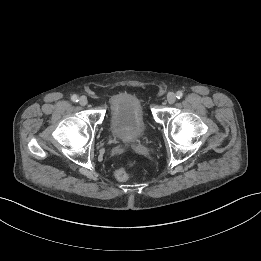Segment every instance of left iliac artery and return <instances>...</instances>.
Instances as JSON below:
<instances>
[{"mask_svg": "<svg viewBox=\"0 0 261 261\" xmlns=\"http://www.w3.org/2000/svg\"><path fill=\"white\" fill-rule=\"evenodd\" d=\"M176 97H177L178 99L182 98V97H183L182 91H178V92L176 93Z\"/></svg>", "mask_w": 261, "mask_h": 261, "instance_id": "left-iliac-artery-1", "label": "left iliac artery"}]
</instances>
